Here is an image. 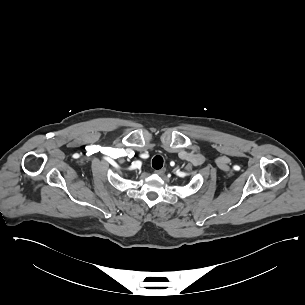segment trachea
<instances>
[{"label": "trachea", "mask_w": 305, "mask_h": 305, "mask_svg": "<svg viewBox=\"0 0 305 305\" xmlns=\"http://www.w3.org/2000/svg\"><path fill=\"white\" fill-rule=\"evenodd\" d=\"M163 166V158L161 156H155L152 160V167L154 169H161Z\"/></svg>", "instance_id": "trachea-1"}]
</instances>
